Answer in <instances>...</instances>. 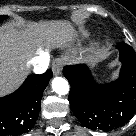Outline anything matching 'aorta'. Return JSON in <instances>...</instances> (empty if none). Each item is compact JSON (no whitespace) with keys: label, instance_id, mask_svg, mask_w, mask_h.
Instances as JSON below:
<instances>
[{"label":"aorta","instance_id":"obj_1","mask_svg":"<svg viewBox=\"0 0 136 136\" xmlns=\"http://www.w3.org/2000/svg\"><path fill=\"white\" fill-rule=\"evenodd\" d=\"M52 89L59 95H66L69 92V84L66 79L62 77H55L52 80Z\"/></svg>","mask_w":136,"mask_h":136}]
</instances>
